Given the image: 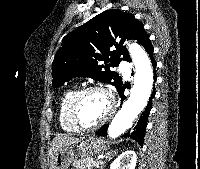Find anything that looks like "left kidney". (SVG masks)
Listing matches in <instances>:
<instances>
[{"mask_svg":"<svg viewBox=\"0 0 200 169\" xmlns=\"http://www.w3.org/2000/svg\"><path fill=\"white\" fill-rule=\"evenodd\" d=\"M137 156L135 151L127 150L120 154L110 165V169H135Z\"/></svg>","mask_w":200,"mask_h":169,"instance_id":"obj_1","label":"left kidney"}]
</instances>
